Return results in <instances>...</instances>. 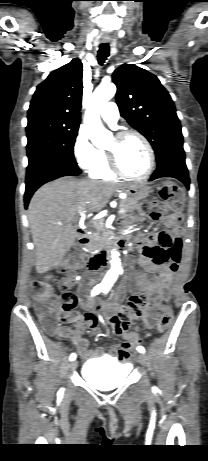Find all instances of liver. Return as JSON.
<instances>
[{
    "label": "liver",
    "instance_id": "1",
    "mask_svg": "<svg viewBox=\"0 0 208 461\" xmlns=\"http://www.w3.org/2000/svg\"><path fill=\"white\" fill-rule=\"evenodd\" d=\"M121 188L115 183L62 177L35 192L28 207V221L37 273L61 263L77 236L73 226L77 214L101 211Z\"/></svg>",
    "mask_w": 208,
    "mask_h": 461
}]
</instances>
